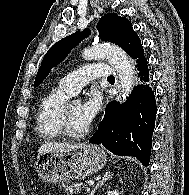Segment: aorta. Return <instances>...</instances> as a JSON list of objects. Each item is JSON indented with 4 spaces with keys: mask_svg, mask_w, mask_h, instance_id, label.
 <instances>
[{
    "mask_svg": "<svg viewBox=\"0 0 189 195\" xmlns=\"http://www.w3.org/2000/svg\"><path fill=\"white\" fill-rule=\"evenodd\" d=\"M83 57L87 60L108 59L119 75L122 99L124 100L130 95L134 71L127 54L121 48L110 44L93 45L84 51Z\"/></svg>",
    "mask_w": 189,
    "mask_h": 195,
    "instance_id": "obj_1",
    "label": "aorta"
}]
</instances>
